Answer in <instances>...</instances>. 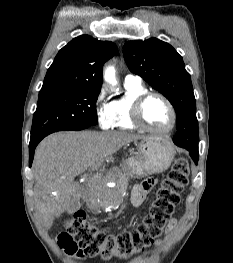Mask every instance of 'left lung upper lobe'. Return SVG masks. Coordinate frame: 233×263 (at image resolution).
<instances>
[{"label": "left lung upper lobe", "instance_id": "5c2ea615", "mask_svg": "<svg viewBox=\"0 0 233 263\" xmlns=\"http://www.w3.org/2000/svg\"><path fill=\"white\" fill-rule=\"evenodd\" d=\"M123 54L131 72L143 77L173 105L177 115L174 143H189L198 147L196 101L190 74L182 57L168 43L150 38L128 41Z\"/></svg>", "mask_w": 233, "mask_h": 263}]
</instances>
